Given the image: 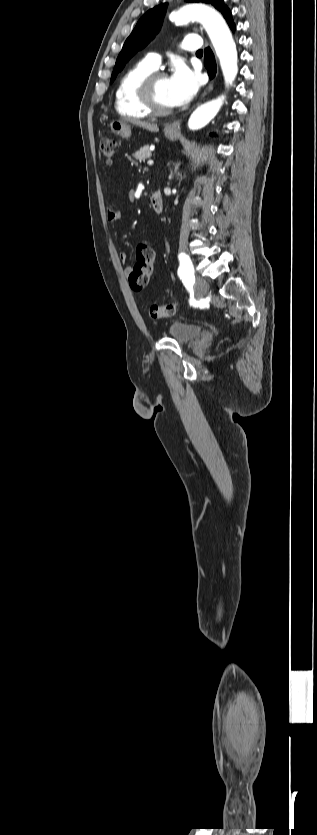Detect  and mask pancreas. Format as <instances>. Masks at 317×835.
<instances>
[{
	"label": "pancreas",
	"instance_id": "obj_1",
	"mask_svg": "<svg viewBox=\"0 0 317 835\" xmlns=\"http://www.w3.org/2000/svg\"><path fill=\"white\" fill-rule=\"evenodd\" d=\"M133 157L138 160L139 162H144L146 159L151 157V151L149 150V146L145 145L140 150L133 154Z\"/></svg>",
	"mask_w": 317,
	"mask_h": 835
}]
</instances>
